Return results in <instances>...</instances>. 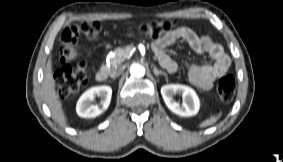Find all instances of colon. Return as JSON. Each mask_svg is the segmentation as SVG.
Segmentation results:
<instances>
[{
    "label": "colon",
    "mask_w": 283,
    "mask_h": 162,
    "mask_svg": "<svg viewBox=\"0 0 283 162\" xmlns=\"http://www.w3.org/2000/svg\"><path fill=\"white\" fill-rule=\"evenodd\" d=\"M142 33L149 37L160 38L174 30L170 20H158L143 23ZM101 25L97 21H86L66 27L60 35L59 57L62 66L55 73V82L59 97L66 98L77 93L87 82V66L84 61L71 65L79 55L77 42L81 37L95 40L99 37ZM236 92V81L232 75L222 77L217 84V97L221 102H229Z\"/></svg>",
    "instance_id": "colon-1"
}]
</instances>
